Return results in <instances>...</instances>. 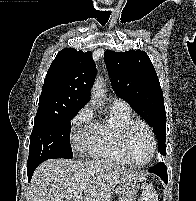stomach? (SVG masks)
Wrapping results in <instances>:
<instances>
[{
  "instance_id": "0dacf381",
  "label": "stomach",
  "mask_w": 196,
  "mask_h": 201,
  "mask_svg": "<svg viewBox=\"0 0 196 201\" xmlns=\"http://www.w3.org/2000/svg\"><path fill=\"white\" fill-rule=\"evenodd\" d=\"M138 184L135 181H125L117 185L115 192L118 196V201H135Z\"/></svg>"
}]
</instances>
